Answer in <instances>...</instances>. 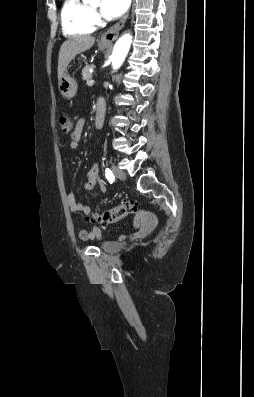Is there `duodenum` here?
Segmentation results:
<instances>
[{"label": "duodenum", "instance_id": "duodenum-1", "mask_svg": "<svg viewBox=\"0 0 254 397\" xmlns=\"http://www.w3.org/2000/svg\"><path fill=\"white\" fill-rule=\"evenodd\" d=\"M106 115V103L103 98H100L97 102L94 125L96 128H101L104 123Z\"/></svg>", "mask_w": 254, "mask_h": 397}]
</instances>
